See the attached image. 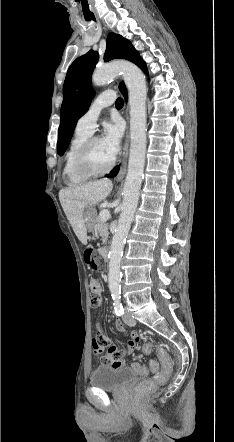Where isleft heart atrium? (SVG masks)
<instances>
[{"label": "left heart atrium", "instance_id": "left-heart-atrium-1", "mask_svg": "<svg viewBox=\"0 0 234 442\" xmlns=\"http://www.w3.org/2000/svg\"><path fill=\"white\" fill-rule=\"evenodd\" d=\"M122 134L123 127L119 120L113 119L104 125V133L101 141L112 157H115L119 151Z\"/></svg>", "mask_w": 234, "mask_h": 442}]
</instances>
